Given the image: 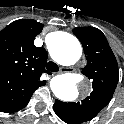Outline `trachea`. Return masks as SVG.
Wrapping results in <instances>:
<instances>
[{
    "label": "trachea",
    "mask_w": 124,
    "mask_h": 124,
    "mask_svg": "<svg viewBox=\"0 0 124 124\" xmlns=\"http://www.w3.org/2000/svg\"><path fill=\"white\" fill-rule=\"evenodd\" d=\"M46 68H47V70H49L51 72H57L59 70L58 65L52 61L47 63Z\"/></svg>",
    "instance_id": "1"
}]
</instances>
